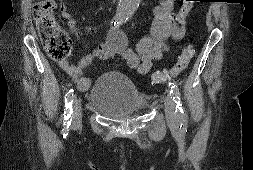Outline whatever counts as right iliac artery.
I'll list each match as a JSON object with an SVG mask.
<instances>
[{
  "instance_id": "right-iliac-artery-1",
  "label": "right iliac artery",
  "mask_w": 253,
  "mask_h": 170,
  "mask_svg": "<svg viewBox=\"0 0 253 170\" xmlns=\"http://www.w3.org/2000/svg\"><path fill=\"white\" fill-rule=\"evenodd\" d=\"M123 23V18H116L114 21V26L117 27L120 24ZM73 96H74V89H70L68 93L65 96V109H64V125L67 126V128L71 125V120H69L72 111V102H73Z\"/></svg>"
}]
</instances>
